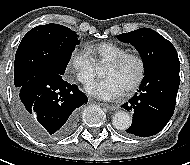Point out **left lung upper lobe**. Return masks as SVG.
Instances as JSON below:
<instances>
[{
  "label": "left lung upper lobe",
  "mask_w": 190,
  "mask_h": 165,
  "mask_svg": "<svg viewBox=\"0 0 190 165\" xmlns=\"http://www.w3.org/2000/svg\"><path fill=\"white\" fill-rule=\"evenodd\" d=\"M120 41L130 43L139 52L145 74L152 69L171 62H179L174 46L150 28H140L117 36Z\"/></svg>",
  "instance_id": "left-lung-upper-lobe-1"
}]
</instances>
